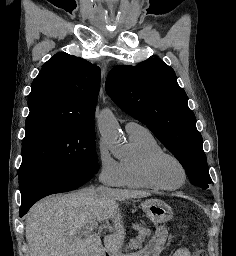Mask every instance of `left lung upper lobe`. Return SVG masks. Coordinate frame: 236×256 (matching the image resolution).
Wrapping results in <instances>:
<instances>
[{
	"label": "left lung upper lobe",
	"instance_id": "5c2ea615",
	"mask_svg": "<svg viewBox=\"0 0 236 256\" xmlns=\"http://www.w3.org/2000/svg\"><path fill=\"white\" fill-rule=\"evenodd\" d=\"M106 91L126 113L144 123L174 154L191 184L208 188L203 140L187 95L178 85L174 70L158 58L136 66L118 65L106 80Z\"/></svg>",
	"mask_w": 236,
	"mask_h": 256
}]
</instances>
